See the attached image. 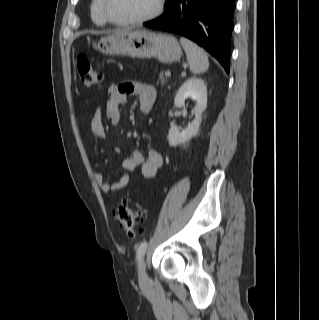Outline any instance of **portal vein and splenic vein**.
Returning a JSON list of instances; mask_svg holds the SVG:
<instances>
[{"mask_svg": "<svg viewBox=\"0 0 319 320\" xmlns=\"http://www.w3.org/2000/svg\"><path fill=\"white\" fill-rule=\"evenodd\" d=\"M165 76H166V77H170V76H171V72H170V71H166V72H165Z\"/></svg>", "mask_w": 319, "mask_h": 320, "instance_id": "1", "label": "portal vein and splenic vein"}]
</instances>
